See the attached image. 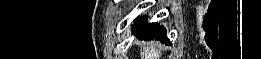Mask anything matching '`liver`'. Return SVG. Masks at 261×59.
<instances>
[{"instance_id":"obj_1","label":"liver","mask_w":261,"mask_h":59,"mask_svg":"<svg viewBox=\"0 0 261 59\" xmlns=\"http://www.w3.org/2000/svg\"><path fill=\"white\" fill-rule=\"evenodd\" d=\"M160 51L158 48H156L155 46L153 47L152 45L150 46V48L148 49H144L143 52H141V57L145 56V59H159L160 57ZM144 59V58H142Z\"/></svg>"}]
</instances>
